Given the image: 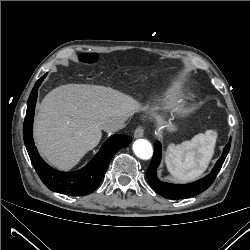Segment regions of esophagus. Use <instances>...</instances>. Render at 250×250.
Returning a JSON list of instances; mask_svg holds the SVG:
<instances>
[{
	"mask_svg": "<svg viewBox=\"0 0 250 250\" xmlns=\"http://www.w3.org/2000/svg\"><path fill=\"white\" fill-rule=\"evenodd\" d=\"M144 135V129L142 127H137L134 131V138H141Z\"/></svg>",
	"mask_w": 250,
	"mask_h": 250,
	"instance_id": "obj_1",
	"label": "esophagus"
}]
</instances>
